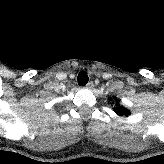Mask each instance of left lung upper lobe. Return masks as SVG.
<instances>
[{
  "instance_id": "1",
  "label": "left lung upper lobe",
  "mask_w": 164,
  "mask_h": 164,
  "mask_svg": "<svg viewBox=\"0 0 164 164\" xmlns=\"http://www.w3.org/2000/svg\"><path fill=\"white\" fill-rule=\"evenodd\" d=\"M109 99L111 100V98H109ZM115 100H116V97H115ZM115 112L120 116H123V115L128 116L130 114V111H128L126 108L120 107V106L115 108Z\"/></svg>"
}]
</instances>
